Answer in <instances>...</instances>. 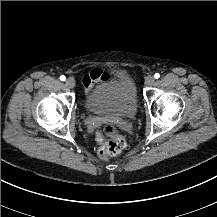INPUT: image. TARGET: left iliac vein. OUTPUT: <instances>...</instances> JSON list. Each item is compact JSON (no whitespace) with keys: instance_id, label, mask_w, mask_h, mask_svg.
<instances>
[{"instance_id":"obj_1","label":"left iliac vein","mask_w":217,"mask_h":217,"mask_svg":"<svg viewBox=\"0 0 217 217\" xmlns=\"http://www.w3.org/2000/svg\"><path fill=\"white\" fill-rule=\"evenodd\" d=\"M155 82V79L152 75H149L145 78V84L148 86H152Z\"/></svg>"}]
</instances>
